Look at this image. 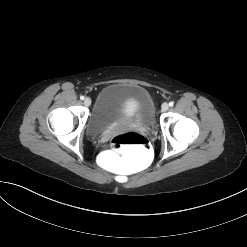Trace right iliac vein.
<instances>
[{
  "label": "right iliac vein",
  "mask_w": 247,
  "mask_h": 247,
  "mask_svg": "<svg viewBox=\"0 0 247 247\" xmlns=\"http://www.w3.org/2000/svg\"><path fill=\"white\" fill-rule=\"evenodd\" d=\"M84 105H85V106H90V105H91V99H90L89 97H86V98L84 99Z\"/></svg>",
  "instance_id": "right-iliac-vein-1"
}]
</instances>
